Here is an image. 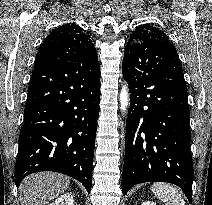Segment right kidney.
I'll use <instances>...</instances> for the list:
<instances>
[{"mask_svg":"<svg viewBox=\"0 0 212 205\" xmlns=\"http://www.w3.org/2000/svg\"><path fill=\"white\" fill-rule=\"evenodd\" d=\"M49 205H74V199L71 193H66Z\"/></svg>","mask_w":212,"mask_h":205,"instance_id":"obj_1","label":"right kidney"}]
</instances>
